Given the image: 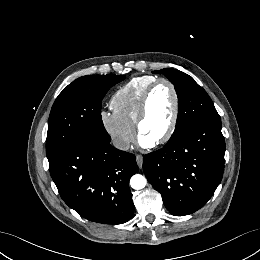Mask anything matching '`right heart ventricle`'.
<instances>
[{"mask_svg": "<svg viewBox=\"0 0 260 260\" xmlns=\"http://www.w3.org/2000/svg\"><path fill=\"white\" fill-rule=\"evenodd\" d=\"M156 80V77L148 75L132 78L111 97L110 106L113 111L135 125L143 95Z\"/></svg>", "mask_w": 260, "mask_h": 260, "instance_id": "obj_1", "label": "right heart ventricle"}]
</instances>
